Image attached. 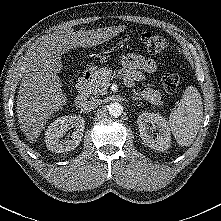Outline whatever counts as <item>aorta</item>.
Listing matches in <instances>:
<instances>
[{"label":"aorta","mask_w":221,"mask_h":221,"mask_svg":"<svg viewBox=\"0 0 221 221\" xmlns=\"http://www.w3.org/2000/svg\"><path fill=\"white\" fill-rule=\"evenodd\" d=\"M108 111L111 116L119 117L123 112V106L117 102H114L108 106Z\"/></svg>","instance_id":"obj_1"}]
</instances>
